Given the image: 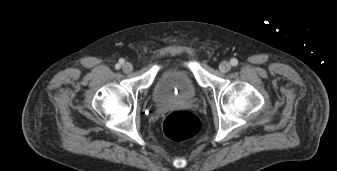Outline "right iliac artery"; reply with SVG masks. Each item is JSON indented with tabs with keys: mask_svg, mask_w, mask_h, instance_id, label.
<instances>
[{
	"mask_svg": "<svg viewBox=\"0 0 337 171\" xmlns=\"http://www.w3.org/2000/svg\"><path fill=\"white\" fill-rule=\"evenodd\" d=\"M123 62H124V61H123L122 59L119 60V63L115 65V68H116V69H120V67H121L120 64H122Z\"/></svg>",
	"mask_w": 337,
	"mask_h": 171,
	"instance_id": "82829eb1",
	"label": "right iliac artery"
}]
</instances>
